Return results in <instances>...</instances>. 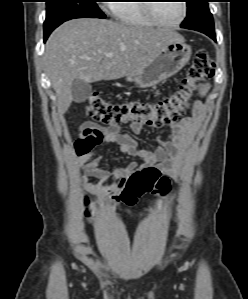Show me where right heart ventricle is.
Wrapping results in <instances>:
<instances>
[{"label": "right heart ventricle", "instance_id": "right-heart-ventricle-1", "mask_svg": "<svg viewBox=\"0 0 248 299\" xmlns=\"http://www.w3.org/2000/svg\"><path fill=\"white\" fill-rule=\"evenodd\" d=\"M143 0L118 1L111 5L113 15L118 22L135 27H154V23L145 11Z\"/></svg>", "mask_w": 248, "mask_h": 299}]
</instances>
